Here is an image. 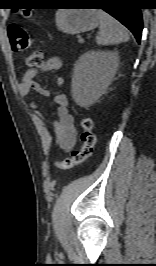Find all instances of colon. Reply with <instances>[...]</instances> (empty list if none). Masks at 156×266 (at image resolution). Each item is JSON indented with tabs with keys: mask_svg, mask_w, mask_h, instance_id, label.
Masks as SVG:
<instances>
[{
	"mask_svg": "<svg viewBox=\"0 0 156 266\" xmlns=\"http://www.w3.org/2000/svg\"><path fill=\"white\" fill-rule=\"evenodd\" d=\"M24 17H31L29 11L24 12ZM8 37L13 51L23 52L31 48L33 40L30 34L22 27L18 25H10L8 27ZM43 63V54L39 50L33 51L27 58L26 64L30 68L38 67ZM81 127L83 129L81 133L82 146L79 150H75L71 153V156L61 161H56L54 167L62 170L71 169L77 165L85 162L93 153L96 137L93 132V121L84 117L81 120Z\"/></svg>",
	"mask_w": 156,
	"mask_h": 266,
	"instance_id": "5ec220e1",
	"label": "colon"
}]
</instances>
